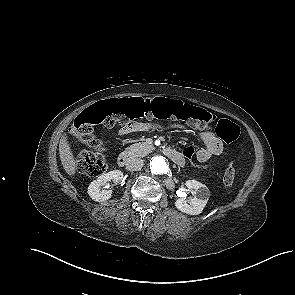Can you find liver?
Returning <instances> with one entry per match:
<instances>
[{
	"label": "liver",
	"mask_w": 295,
	"mask_h": 295,
	"mask_svg": "<svg viewBox=\"0 0 295 295\" xmlns=\"http://www.w3.org/2000/svg\"><path fill=\"white\" fill-rule=\"evenodd\" d=\"M60 160L66 173L73 176L76 172L77 165L71 147L67 141V136H63L59 143Z\"/></svg>",
	"instance_id": "6515ba94"
}]
</instances>
